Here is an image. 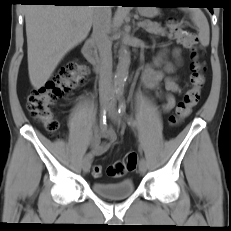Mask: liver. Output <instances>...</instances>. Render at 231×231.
<instances>
[{"instance_id":"obj_1","label":"liver","mask_w":231,"mask_h":231,"mask_svg":"<svg viewBox=\"0 0 231 231\" xmlns=\"http://www.w3.org/2000/svg\"><path fill=\"white\" fill-rule=\"evenodd\" d=\"M95 6L24 7L29 79L40 89L74 47L88 36Z\"/></svg>"}]
</instances>
